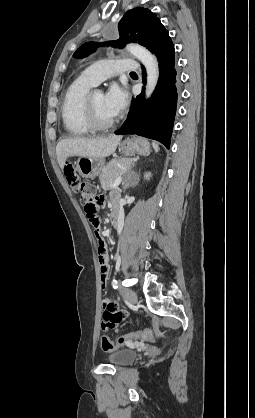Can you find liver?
<instances>
[{"label":"liver","instance_id":"obj_1","mask_svg":"<svg viewBox=\"0 0 255 418\" xmlns=\"http://www.w3.org/2000/svg\"><path fill=\"white\" fill-rule=\"evenodd\" d=\"M122 139L121 135H110L105 138H66L56 146L57 161L64 169L66 160L71 156L105 158L113 154Z\"/></svg>","mask_w":255,"mask_h":418}]
</instances>
